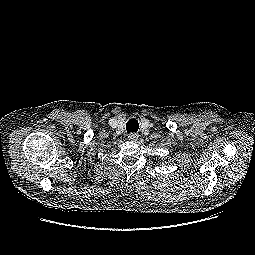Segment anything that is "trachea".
Instances as JSON below:
<instances>
[{
	"instance_id": "1",
	"label": "trachea",
	"mask_w": 255,
	"mask_h": 255,
	"mask_svg": "<svg viewBox=\"0 0 255 255\" xmlns=\"http://www.w3.org/2000/svg\"><path fill=\"white\" fill-rule=\"evenodd\" d=\"M138 129H139L138 121L134 118L129 119L127 124H126L127 133L137 132Z\"/></svg>"
}]
</instances>
